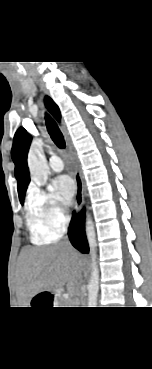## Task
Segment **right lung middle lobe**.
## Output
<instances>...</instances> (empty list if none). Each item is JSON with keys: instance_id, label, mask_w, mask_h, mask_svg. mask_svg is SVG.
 I'll return each instance as SVG.
<instances>
[{"instance_id": "right-lung-middle-lobe-1", "label": "right lung middle lobe", "mask_w": 152, "mask_h": 369, "mask_svg": "<svg viewBox=\"0 0 152 369\" xmlns=\"http://www.w3.org/2000/svg\"><path fill=\"white\" fill-rule=\"evenodd\" d=\"M20 202H21V204H23L24 201H20Z\"/></svg>"}]
</instances>
